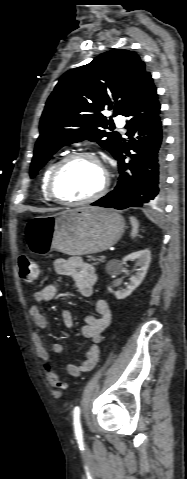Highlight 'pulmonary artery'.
<instances>
[{"label":"pulmonary artery","instance_id":"1","mask_svg":"<svg viewBox=\"0 0 187 479\" xmlns=\"http://www.w3.org/2000/svg\"><path fill=\"white\" fill-rule=\"evenodd\" d=\"M115 123L117 126L122 127L124 125V117L122 115L116 116Z\"/></svg>","mask_w":187,"mask_h":479}]
</instances>
